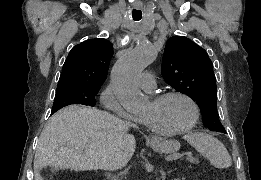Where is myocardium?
<instances>
[{
  "mask_svg": "<svg viewBox=\"0 0 261 180\" xmlns=\"http://www.w3.org/2000/svg\"><path fill=\"white\" fill-rule=\"evenodd\" d=\"M173 96L181 97L182 99H184L185 101H187L189 103L191 110H192V115H191L190 121L188 122L187 126L182 131H180L176 134H171L168 136H157L150 131L148 126H146L144 123H142L140 120H138V124H139L142 134L145 137H147L148 139H151V140L181 139V138L185 137L197 124L199 116H200V109H199V106H198V103L196 102V100L188 93L181 91V90H168V91H164V92L152 93L150 98L152 99V101L158 102V101H161L166 98L173 97Z\"/></svg>",
  "mask_w": 261,
  "mask_h": 180,
  "instance_id": "1",
  "label": "myocardium"
}]
</instances>
